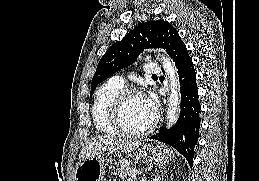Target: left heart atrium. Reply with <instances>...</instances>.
Listing matches in <instances>:
<instances>
[{
  "label": "left heart atrium",
  "instance_id": "39dd6f15",
  "mask_svg": "<svg viewBox=\"0 0 259 181\" xmlns=\"http://www.w3.org/2000/svg\"><path fill=\"white\" fill-rule=\"evenodd\" d=\"M143 102L146 109L153 115H156L157 112V104L156 102L150 97H143Z\"/></svg>",
  "mask_w": 259,
  "mask_h": 181
}]
</instances>
